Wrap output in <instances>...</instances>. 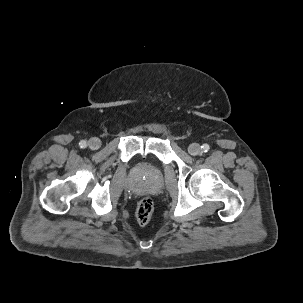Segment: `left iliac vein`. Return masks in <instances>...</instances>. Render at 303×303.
Returning a JSON list of instances; mask_svg holds the SVG:
<instances>
[{
	"instance_id": "left-iliac-vein-1",
	"label": "left iliac vein",
	"mask_w": 303,
	"mask_h": 303,
	"mask_svg": "<svg viewBox=\"0 0 303 303\" xmlns=\"http://www.w3.org/2000/svg\"><path fill=\"white\" fill-rule=\"evenodd\" d=\"M200 151H201V148H200L199 144H197V143L191 144L188 148V152L193 156L198 155L200 153Z\"/></svg>"
}]
</instances>
